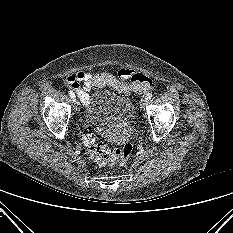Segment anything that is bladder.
Instances as JSON below:
<instances>
[{"instance_id": "1", "label": "bladder", "mask_w": 233, "mask_h": 233, "mask_svg": "<svg viewBox=\"0 0 233 233\" xmlns=\"http://www.w3.org/2000/svg\"><path fill=\"white\" fill-rule=\"evenodd\" d=\"M135 108L132 101L110 90H97L85 107L88 122L97 126H106L128 121L134 117Z\"/></svg>"}]
</instances>
